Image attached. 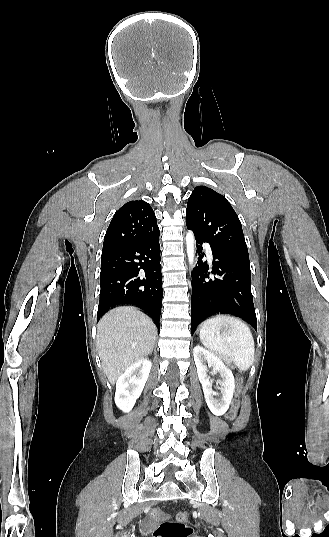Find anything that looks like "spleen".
I'll return each instance as SVG.
<instances>
[{"label": "spleen", "mask_w": 329, "mask_h": 537, "mask_svg": "<svg viewBox=\"0 0 329 537\" xmlns=\"http://www.w3.org/2000/svg\"><path fill=\"white\" fill-rule=\"evenodd\" d=\"M229 325L228 332L217 329ZM202 344L219 354L231 358L239 370H247L254 361L255 345L249 327L240 319L217 316L204 321L200 329Z\"/></svg>", "instance_id": "spleen-1"}]
</instances>
